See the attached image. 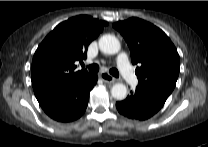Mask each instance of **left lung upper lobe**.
<instances>
[{"label":"left lung upper lobe","mask_w":208,"mask_h":147,"mask_svg":"<svg viewBox=\"0 0 208 147\" xmlns=\"http://www.w3.org/2000/svg\"><path fill=\"white\" fill-rule=\"evenodd\" d=\"M126 40L138 85L170 95L179 75L180 58L169 37L158 27L139 18L113 24Z\"/></svg>","instance_id":"obj_1"}]
</instances>
